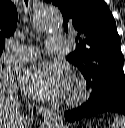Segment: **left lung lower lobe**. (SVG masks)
I'll return each instance as SVG.
<instances>
[{"instance_id": "obj_1", "label": "left lung lower lobe", "mask_w": 125, "mask_h": 128, "mask_svg": "<svg viewBox=\"0 0 125 128\" xmlns=\"http://www.w3.org/2000/svg\"><path fill=\"white\" fill-rule=\"evenodd\" d=\"M104 112L125 115V81L108 86L96 100L91 95L80 107L65 112V118L68 122H75Z\"/></svg>"}]
</instances>
